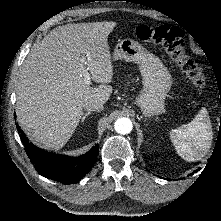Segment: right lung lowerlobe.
Segmentation results:
<instances>
[{"label": "right lung lower lobe", "instance_id": "right-lung-lower-lobe-1", "mask_svg": "<svg viewBox=\"0 0 221 221\" xmlns=\"http://www.w3.org/2000/svg\"><path fill=\"white\" fill-rule=\"evenodd\" d=\"M25 151L36 171L49 179L63 184H73L83 178L97 160L99 146L96 144L87 153L79 157L47 153L29 143V140L17 125Z\"/></svg>", "mask_w": 221, "mask_h": 221}]
</instances>
